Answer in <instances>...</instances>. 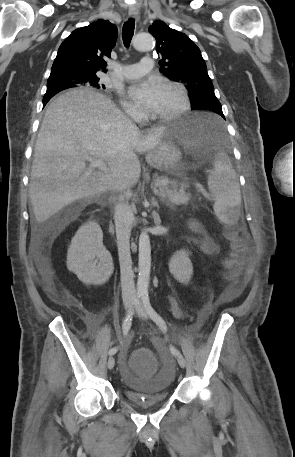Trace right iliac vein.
<instances>
[{"instance_id": "1", "label": "right iliac vein", "mask_w": 295, "mask_h": 457, "mask_svg": "<svg viewBox=\"0 0 295 457\" xmlns=\"http://www.w3.org/2000/svg\"><path fill=\"white\" fill-rule=\"evenodd\" d=\"M131 306H132L131 300L125 301L124 308H125L126 313H129V311L131 310ZM114 365H115V359L113 356H110L108 359V363H107L108 369L109 370L113 369Z\"/></svg>"}]
</instances>
